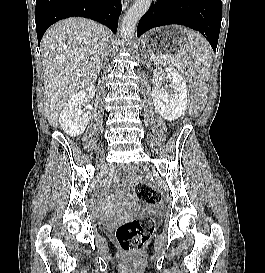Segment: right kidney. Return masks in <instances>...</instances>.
Listing matches in <instances>:
<instances>
[{
    "label": "right kidney",
    "instance_id": "ca27d5eb",
    "mask_svg": "<svg viewBox=\"0 0 265 273\" xmlns=\"http://www.w3.org/2000/svg\"><path fill=\"white\" fill-rule=\"evenodd\" d=\"M96 88L90 85L86 90H80L74 94L65 104L60 113L59 120L61 128L64 132L72 137L81 135L90 119V111L82 112L81 105L86 97L93 98L95 96Z\"/></svg>",
    "mask_w": 265,
    "mask_h": 273
}]
</instances>
